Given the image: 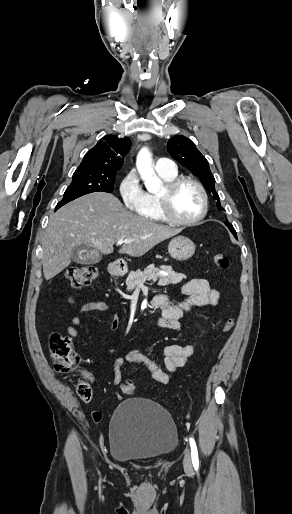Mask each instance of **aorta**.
I'll return each instance as SVG.
<instances>
[{
    "label": "aorta",
    "instance_id": "762f6f07",
    "mask_svg": "<svg viewBox=\"0 0 292 514\" xmlns=\"http://www.w3.org/2000/svg\"><path fill=\"white\" fill-rule=\"evenodd\" d=\"M136 168L149 192H153V190H156L157 186H160L161 180L154 178L155 172L151 166V158L148 150H141V152H139Z\"/></svg>",
    "mask_w": 292,
    "mask_h": 514
}]
</instances>
